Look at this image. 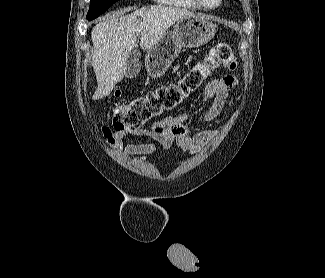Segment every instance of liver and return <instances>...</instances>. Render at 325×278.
Wrapping results in <instances>:
<instances>
[{
  "label": "liver",
  "mask_w": 325,
  "mask_h": 278,
  "mask_svg": "<svg viewBox=\"0 0 325 278\" xmlns=\"http://www.w3.org/2000/svg\"><path fill=\"white\" fill-rule=\"evenodd\" d=\"M132 9L116 12L92 29L94 53L91 64L97 80L93 100L108 96L123 79L128 55L139 34L140 47L149 49L161 40L175 22L195 15L184 8L153 5L124 16L126 11Z\"/></svg>",
  "instance_id": "1"
}]
</instances>
